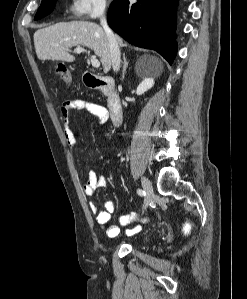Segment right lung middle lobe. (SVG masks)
<instances>
[{
    "label": "right lung middle lobe",
    "instance_id": "dd1d6c3e",
    "mask_svg": "<svg viewBox=\"0 0 247 299\" xmlns=\"http://www.w3.org/2000/svg\"><path fill=\"white\" fill-rule=\"evenodd\" d=\"M56 0H42L38 12L35 15V20L41 19L51 13L54 9Z\"/></svg>",
    "mask_w": 247,
    "mask_h": 299
}]
</instances>
